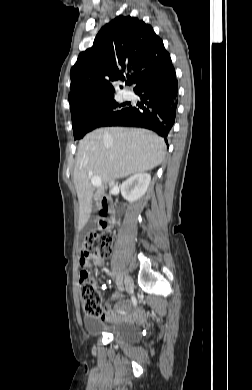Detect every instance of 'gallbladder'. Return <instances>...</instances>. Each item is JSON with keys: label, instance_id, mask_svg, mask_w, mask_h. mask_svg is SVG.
Wrapping results in <instances>:
<instances>
[{"label": "gallbladder", "instance_id": "bac80fb5", "mask_svg": "<svg viewBox=\"0 0 252 390\" xmlns=\"http://www.w3.org/2000/svg\"><path fill=\"white\" fill-rule=\"evenodd\" d=\"M96 227H97V215H96V210L94 209L87 223L80 231L81 237L83 238L87 236L90 232L95 231Z\"/></svg>", "mask_w": 252, "mask_h": 390}]
</instances>
